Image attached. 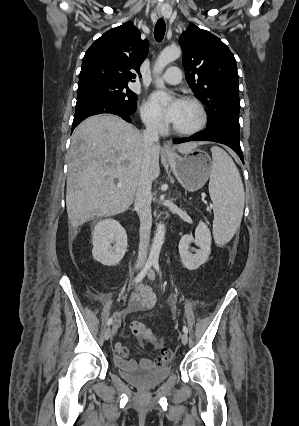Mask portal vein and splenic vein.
<instances>
[{"instance_id":"obj_1","label":"portal vein and splenic vein","mask_w":299,"mask_h":426,"mask_svg":"<svg viewBox=\"0 0 299 426\" xmlns=\"http://www.w3.org/2000/svg\"><path fill=\"white\" fill-rule=\"evenodd\" d=\"M117 187H121V184H118Z\"/></svg>"}]
</instances>
